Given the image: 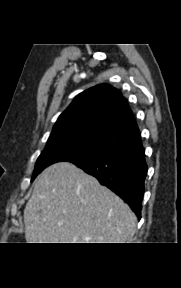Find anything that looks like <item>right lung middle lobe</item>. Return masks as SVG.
I'll use <instances>...</instances> for the list:
<instances>
[{
  "label": "right lung middle lobe",
  "instance_id": "right-lung-middle-lobe-1",
  "mask_svg": "<svg viewBox=\"0 0 181 288\" xmlns=\"http://www.w3.org/2000/svg\"><path fill=\"white\" fill-rule=\"evenodd\" d=\"M108 150L90 141L80 138L51 140L38 157L31 181L49 165L76 159L90 158L105 155Z\"/></svg>",
  "mask_w": 181,
  "mask_h": 288
}]
</instances>
